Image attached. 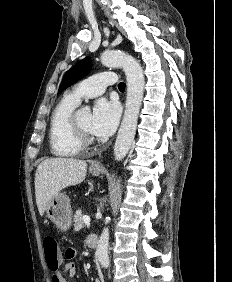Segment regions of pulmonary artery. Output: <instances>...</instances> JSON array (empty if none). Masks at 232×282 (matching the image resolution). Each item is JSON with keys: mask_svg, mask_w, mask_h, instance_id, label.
<instances>
[{"mask_svg": "<svg viewBox=\"0 0 232 282\" xmlns=\"http://www.w3.org/2000/svg\"><path fill=\"white\" fill-rule=\"evenodd\" d=\"M117 82L114 72L104 71L78 83L68 94L79 101L84 97H95L102 94L107 86Z\"/></svg>", "mask_w": 232, "mask_h": 282, "instance_id": "obj_1", "label": "pulmonary artery"}]
</instances>
